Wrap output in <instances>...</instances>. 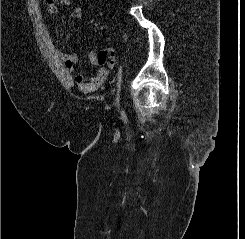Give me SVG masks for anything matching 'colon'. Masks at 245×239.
Instances as JSON below:
<instances>
[{
	"label": "colon",
	"mask_w": 245,
	"mask_h": 239,
	"mask_svg": "<svg viewBox=\"0 0 245 239\" xmlns=\"http://www.w3.org/2000/svg\"><path fill=\"white\" fill-rule=\"evenodd\" d=\"M49 2H53V0H49Z\"/></svg>",
	"instance_id": "colon-1"
}]
</instances>
